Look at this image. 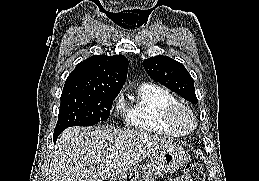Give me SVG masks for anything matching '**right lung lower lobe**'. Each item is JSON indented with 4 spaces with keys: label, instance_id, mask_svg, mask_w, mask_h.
I'll list each match as a JSON object with an SVG mask.
<instances>
[{
    "label": "right lung lower lobe",
    "instance_id": "1",
    "mask_svg": "<svg viewBox=\"0 0 259 181\" xmlns=\"http://www.w3.org/2000/svg\"><path fill=\"white\" fill-rule=\"evenodd\" d=\"M57 137H58V135L54 137V141H56Z\"/></svg>",
    "mask_w": 259,
    "mask_h": 181
}]
</instances>
